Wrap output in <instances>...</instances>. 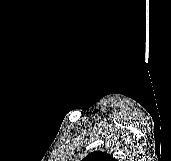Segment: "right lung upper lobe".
Wrapping results in <instances>:
<instances>
[{
	"mask_svg": "<svg viewBox=\"0 0 171 161\" xmlns=\"http://www.w3.org/2000/svg\"><path fill=\"white\" fill-rule=\"evenodd\" d=\"M82 161H117L110 154L102 151H94L88 154Z\"/></svg>",
	"mask_w": 171,
	"mask_h": 161,
	"instance_id": "right-lung-upper-lobe-1",
	"label": "right lung upper lobe"
}]
</instances>
